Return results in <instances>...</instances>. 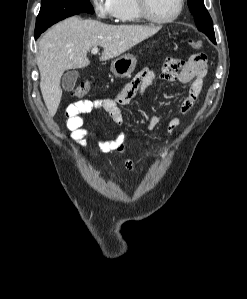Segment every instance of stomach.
<instances>
[{"instance_id": "1", "label": "stomach", "mask_w": 247, "mask_h": 299, "mask_svg": "<svg viewBox=\"0 0 247 299\" xmlns=\"http://www.w3.org/2000/svg\"><path fill=\"white\" fill-rule=\"evenodd\" d=\"M137 64V59L132 54H125L116 58L111 63L112 73L119 78L130 77L134 72Z\"/></svg>"}]
</instances>
